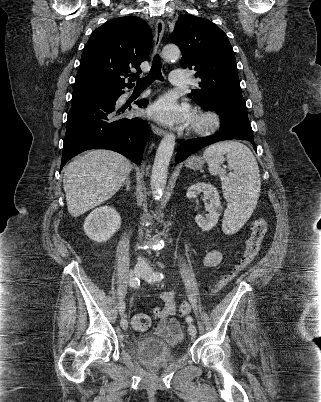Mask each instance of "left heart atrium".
<instances>
[{"mask_svg": "<svg viewBox=\"0 0 321 402\" xmlns=\"http://www.w3.org/2000/svg\"><path fill=\"white\" fill-rule=\"evenodd\" d=\"M148 114L155 120L167 125L186 123L192 118L190 108L187 105H178L169 97L155 102L149 108Z\"/></svg>", "mask_w": 321, "mask_h": 402, "instance_id": "39dd6f15", "label": "left heart atrium"}]
</instances>
